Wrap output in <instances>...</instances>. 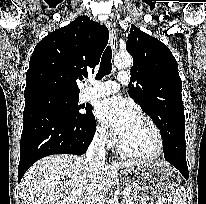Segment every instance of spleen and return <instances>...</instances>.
Listing matches in <instances>:
<instances>
[{
  "label": "spleen",
  "mask_w": 206,
  "mask_h": 204,
  "mask_svg": "<svg viewBox=\"0 0 206 204\" xmlns=\"http://www.w3.org/2000/svg\"><path fill=\"white\" fill-rule=\"evenodd\" d=\"M168 204H185V192L183 188L173 191L168 196Z\"/></svg>",
  "instance_id": "obj_1"
}]
</instances>
